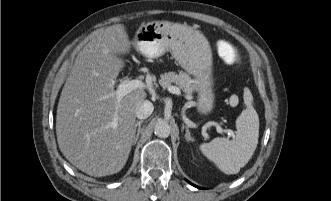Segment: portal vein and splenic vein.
Wrapping results in <instances>:
<instances>
[{"mask_svg":"<svg viewBox=\"0 0 331 201\" xmlns=\"http://www.w3.org/2000/svg\"><path fill=\"white\" fill-rule=\"evenodd\" d=\"M144 88H148L150 91L152 90L151 87H149L148 85H146L145 83H143L141 80L139 79H134V80H130V81H122L117 85V89L114 92L113 95H115L117 102H120V100L126 96L127 94H129L130 92H132L133 90L136 89H144ZM170 93L173 94H177L179 95L180 89L176 86H169L168 88ZM216 127V130L218 133H223V132H227L230 136L234 137V134L231 130H224L222 129V127L218 124H214ZM111 126L113 128L117 127V119L114 118V120L111 123Z\"/></svg>","mask_w":331,"mask_h":201,"instance_id":"obj_1","label":"portal vein and splenic vein"}]
</instances>
